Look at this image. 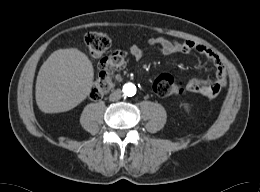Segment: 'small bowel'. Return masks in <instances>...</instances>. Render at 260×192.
<instances>
[{"label": "small bowel", "mask_w": 260, "mask_h": 192, "mask_svg": "<svg viewBox=\"0 0 260 192\" xmlns=\"http://www.w3.org/2000/svg\"><path fill=\"white\" fill-rule=\"evenodd\" d=\"M147 44L151 47H157L158 51L164 56L174 54L186 55L195 52L204 55L213 64L215 68L214 78H192L186 84L187 91L213 99L227 85V70L220 57L213 50L191 40L179 42L164 37H151L147 40ZM128 51L134 60L142 59L145 54L144 49L137 45H131Z\"/></svg>", "instance_id": "obj_1"}]
</instances>
